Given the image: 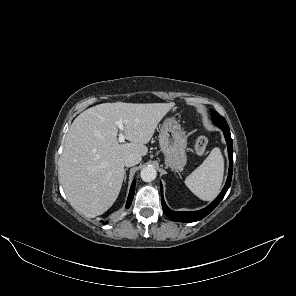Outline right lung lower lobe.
<instances>
[{"mask_svg": "<svg viewBox=\"0 0 296 296\" xmlns=\"http://www.w3.org/2000/svg\"><path fill=\"white\" fill-rule=\"evenodd\" d=\"M134 191H135V180L133 181L131 189H130V193H129V196H128L126 208H129L130 205H131V202H132L133 197H134Z\"/></svg>", "mask_w": 296, "mask_h": 296, "instance_id": "right-lung-lower-lobe-1", "label": "right lung lower lobe"}]
</instances>
